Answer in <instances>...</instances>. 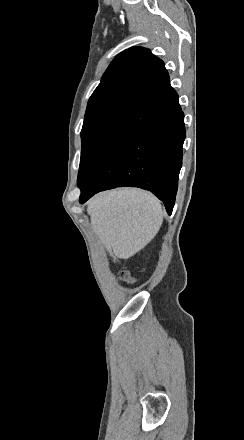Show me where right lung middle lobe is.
<instances>
[{
    "label": "right lung middle lobe",
    "mask_w": 244,
    "mask_h": 440,
    "mask_svg": "<svg viewBox=\"0 0 244 440\" xmlns=\"http://www.w3.org/2000/svg\"><path fill=\"white\" fill-rule=\"evenodd\" d=\"M139 100L140 98L133 96H118L88 103L81 131L82 151L78 181L108 134Z\"/></svg>",
    "instance_id": "right-lung-middle-lobe-1"
}]
</instances>
